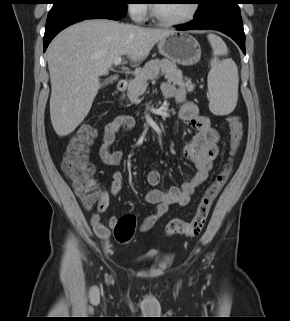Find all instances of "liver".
<instances>
[{"mask_svg":"<svg viewBox=\"0 0 290 321\" xmlns=\"http://www.w3.org/2000/svg\"><path fill=\"white\" fill-rule=\"evenodd\" d=\"M106 19L76 23L60 32L47 49L51 81L50 117L60 137L72 133L89 113L114 59L145 60L156 43L172 33Z\"/></svg>","mask_w":290,"mask_h":321,"instance_id":"liver-1","label":"liver"}]
</instances>
